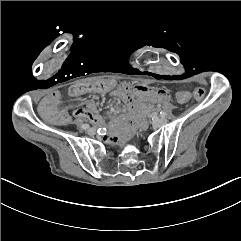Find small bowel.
Instances as JSON below:
<instances>
[{"mask_svg": "<svg viewBox=\"0 0 241 241\" xmlns=\"http://www.w3.org/2000/svg\"><path fill=\"white\" fill-rule=\"evenodd\" d=\"M107 82L108 88L105 93H111L119 98H121L126 107L128 109L131 108V104L129 102V97L132 96V93L129 89V87L126 84H120L116 86V84L113 81L110 80H105ZM169 89L166 88H151L142 84L136 85L134 87L133 93L136 98L145 100L146 102L149 103H166L169 102ZM84 93H80L82 95ZM61 93L60 92H55L52 95H49L46 97V99L43 100L42 102V113L44 117L48 120L53 118V113L50 111L49 107L51 103L57 101L58 99L61 98ZM74 115L77 117V119L81 122H86L90 121L94 124H100L103 122L101 116L97 114L95 111V106L93 102H88L87 108L86 107H81L77 108L74 111ZM70 115L65 113L63 115H59L56 117V122L59 124H62L64 122H67L70 120ZM144 126V124H141L137 122L135 119H129L126 120L123 123H120L116 125V132L109 134L105 140L108 143L118 145V146H123L126 141L134 137L137 132Z\"/></svg>", "mask_w": 241, "mask_h": 241, "instance_id": "small-bowel-1", "label": "small bowel"}]
</instances>
